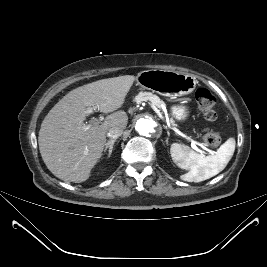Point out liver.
I'll use <instances>...</instances> for the list:
<instances>
[{
  "instance_id": "liver-1",
  "label": "liver",
  "mask_w": 267,
  "mask_h": 267,
  "mask_svg": "<svg viewBox=\"0 0 267 267\" xmlns=\"http://www.w3.org/2000/svg\"><path fill=\"white\" fill-rule=\"evenodd\" d=\"M135 79L124 75L80 86L49 111L41 124L38 144L44 163L57 178L75 183L89 178L102 156L108 130L127 126V114L116 110L124 104ZM88 108L113 113L104 122L92 120L85 131L83 121Z\"/></svg>"
}]
</instances>
